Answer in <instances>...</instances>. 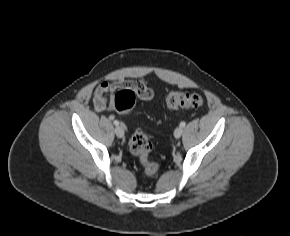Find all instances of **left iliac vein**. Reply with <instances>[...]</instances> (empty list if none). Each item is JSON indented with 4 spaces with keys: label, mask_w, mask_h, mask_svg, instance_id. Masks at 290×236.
<instances>
[{
    "label": "left iliac vein",
    "mask_w": 290,
    "mask_h": 236,
    "mask_svg": "<svg viewBox=\"0 0 290 236\" xmlns=\"http://www.w3.org/2000/svg\"><path fill=\"white\" fill-rule=\"evenodd\" d=\"M182 134H183V128L181 126L177 127L174 131L175 138H180Z\"/></svg>",
    "instance_id": "4c4485c4"
}]
</instances>
